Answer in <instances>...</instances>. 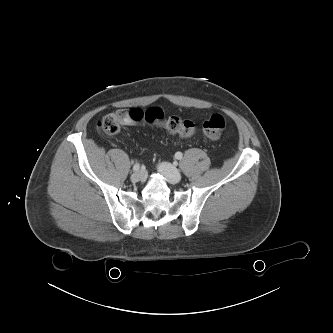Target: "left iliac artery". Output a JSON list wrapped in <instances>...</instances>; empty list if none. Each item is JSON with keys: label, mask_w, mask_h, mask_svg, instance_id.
<instances>
[{"label": "left iliac artery", "mask_w": 333, "mask_h": 333, "mask_svg": "<svg viewBox=\"0 0 333 333\" xmlns=\"http://www.w3.org/2000/svg\"><path fill=\"white\" fill-rule=\"evenodd\" d=\"M182 156H183V154L181 152L175 153V158L178 159V160H181Z\"/></svg>", "instance_id": "44dca946"}]
</instances>
